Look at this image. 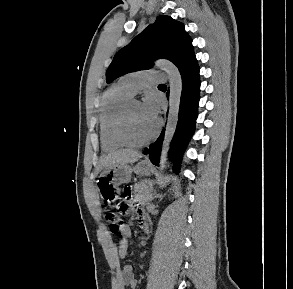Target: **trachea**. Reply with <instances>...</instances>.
I'll list each match as a JSON object with an SVG mask.
<instances>
[{
	"label": "trachea",
	"mask_w": 293,
	"mask_h": 289,
	"mask_svg": "<svg viewBox=\"0 0 293 289\" xmlns=\"http://www.w3.org/2000/svg\"><path fill=\"white\" fill-rule=\"evenodd\" d=\"M160 86H165V84H160Z\"/></svg>",
	"instance_id": "trachea-1"
}]
</instances>
